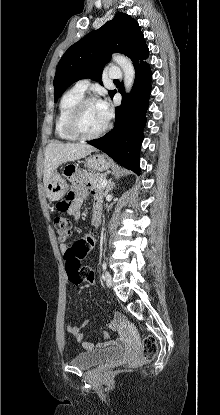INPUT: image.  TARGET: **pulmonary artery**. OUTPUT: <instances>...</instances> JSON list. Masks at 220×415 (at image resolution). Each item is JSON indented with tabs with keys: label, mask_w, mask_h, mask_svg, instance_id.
<instances>
[{
	"label": "pulmonary artery",
	"mask_w": 220,
	"mask_h": 415,
	"mask_svg": "<svg viewBox=\"0 0 220 415\" xmlns=\"http://www.w3.org/2000/svg\"><path fill=\"white\" fill-rule=\"evenodd\" d=\"M121 76H122V72L118 67H112L109 70V77H111V78H120ZM89 84H90V82L87 79L79 80L74 85V89L78 90L79 92L84 93L87 90Z\"/></svg>",
	"instance_id": "pulmonary-artery-1"
}]
</instances>
